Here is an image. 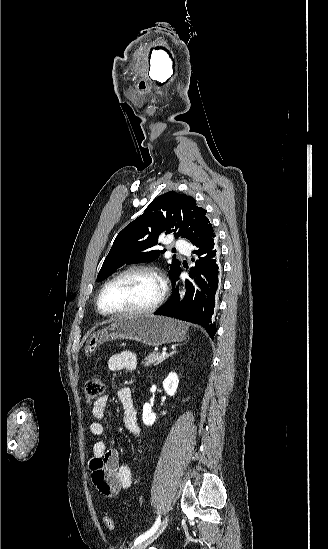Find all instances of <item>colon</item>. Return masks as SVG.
Returning a JSON list of instances; mask_svg holds the SVG:
<instances>
[{
  "mask_svg": "<svg viewBox=\"0 0 328 549\" xmlns=\"http://www.w3.org/2000/svg\"><path fill=\"white\" fill-rule=\"evenodd\" d=\"M105 389L103 380L98 376H93L85 383V398L87 402L96 401L101 397ZM105 526L109 530L115 529V521L112 517L106 516L103 519Z\"/></svg>",
  "mask_w": 328,
  "mask_h": 549,
  "instance_id": "1",
  "label": "colon"
}]
</instances>
